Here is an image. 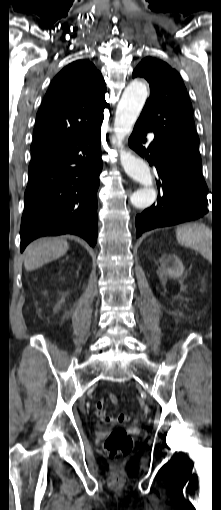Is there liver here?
Returning <instances> with one entry per match:
<instances>
[{"instance_id": "6515ba94", "label": "liver", "mask_w": 221, "mask_h": 510, "mask_svg": "<svg viewBox=\"0 0 221 510\" xmlns=\"http://www.w3.org/2000/svg\"><path fill=\"white\" fill-rule=\"evenodd\" d=\"M69 249L64 239L47 238L31 243L25 251L24 266L27 271H33L46 263L63 256Z\"/></svg>"}]
</instances>
